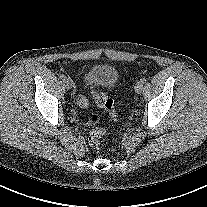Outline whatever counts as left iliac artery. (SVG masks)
<instances>
[{
	"mask_svg": "<svg viewBox=\"0 0 207 207\" xmlns=\"http://www.w3.org/2000/svg\"><path fill=\"white\" fill-rule=\"evenodd\" d=\"M140 81L144 84L146 82V78L143 77V78L140 79Z\"/></svg>",
	"mask_w": 207,
	"mask_h": 207,
	"instance_id": "obj_1",
	"label": "left iliac artery"
}]
</instances>
